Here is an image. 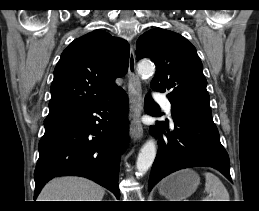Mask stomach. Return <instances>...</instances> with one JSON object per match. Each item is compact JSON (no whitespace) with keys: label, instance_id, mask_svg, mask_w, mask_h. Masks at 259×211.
<instances>
[{"label":"stomach","instance_id":"0dacf381","mask_svg":"<svg viewBox=\"0 0 259 211\" xmlns=\"http://www.w3.org/2000/svg\"><path fill=\"white\" fill-rule=\"evenodd\" d=\"M199 183L200 178L193 170H181L164 179L159 192L170 201H181L193 194Z\"/></svg>","mask_w":259,"mask_h":211}]
</instances>
